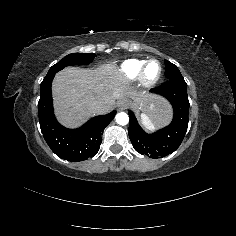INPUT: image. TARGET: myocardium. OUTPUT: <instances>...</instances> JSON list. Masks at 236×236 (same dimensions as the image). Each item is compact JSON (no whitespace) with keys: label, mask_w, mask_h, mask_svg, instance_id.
Instances as JSON below:
<instances>
[{"label":"myocardium","mask_w":236,"mask_h":236,"mask_svg":"<svg viewBox=\"0 0 236 236\" xmlns=\"http://www.w3.org/2000/svg\"><path fill=\"white\" fill-rule=\"evenodd\" d=\"M154 61H156L160 64L161 71H160V74L157 78L150 80L147 78V68H148L149 64ZM163 74H164V68H163L162 62L156 58H152V59L147 60L146 63L144 64V66L140 72V75H139V82H140L141 86L146 87V88H151L160 82V80L163 77Z\"/></svg>","instance_id":"1"}]
</instances>
